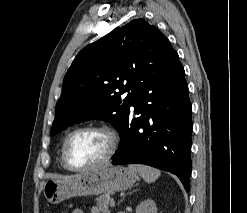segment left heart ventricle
Instances as JSON below:
<instances>
[{
    "label": "left heart ventricle",
    "instance_id": "1",
    "mask_svg": "<svg viewBox=\"0 0 247 213\" xmlns=\"http://www.w3.org/2000/svg\"><path fill=\"white\" fill-rule=\"evenodd\" d=\"M109 140L96 131H83L73 135L67 144V157L76 167H85L99 162L107 153Z\"/></svg>",
    "mask_w": 247,
    "mask_h": 213
}]
</instances>
